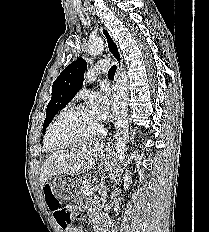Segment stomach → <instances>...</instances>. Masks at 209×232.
Returning <instances> with one entry per match:
<instances>
[{"mask_svg":"<svg viewBox=\"0 0 209 232\" xmlns=\"http://www.w3.org/2000/svg\"><path fill=\"white\" fill-rule=\"evenodd\" d=\"M110 148H101V151H109ZM74 171H61L60 175L54 176L51 189L56 195V199H79L82 190V178L74 176Z\"/></svg>","mask_w":209,"mask_h":232,"instance_id":"1","label":"stomach"}]
</instances>
